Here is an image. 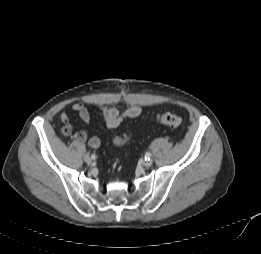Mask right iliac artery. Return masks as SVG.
Instances as JSON below:
<instances>
[{"instance_id":"1","label":"right iliac artery","mask_w":261,"mask_h":254,"mask_svg":"<svg viewBox=\"0 0 261 254\" xmlns=\"http://www.w3.org/2000/svg\"><path fill=\"white\" fill-rule=\"evenodd\" d=\"M91 158H92V159H95V155H92Z\"/></svg>"}]
</instances>
